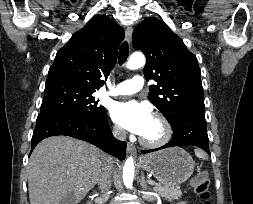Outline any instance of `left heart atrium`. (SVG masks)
<instances>
[{
  "label": "left heart atrium",
  "instance_id": "1",
  "mask_svg": "<svg viewBox=\"0 0 253 204\" xmlns=\"http://www.w3.org/2000/svg\"><path fill=\"white\" fill-rule=\"evenodd\" d=\"M113 119L128 131L142 135L153 119L150 108L135 100L116 103L112 108Z\"/></svg>",
  "mask_w": 253,
  "mask_h": 204
}]
</instances>
